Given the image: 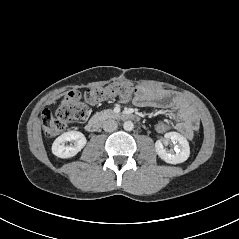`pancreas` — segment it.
I'll list each match as a JSON object with an SVG mask.
<instances>
[{
  "label": "pancreas",
  "instance_id": "obj_1",
  "mask_svg": "<svg viewBox=\"0 0 239 239\" xmlns=\"http://www.w3.org/2000/svg\"><path fill=\"white\" fill-rule=\"evenodd\" d=\"M113 115H114V112L112 110H103L101 112L96 113V116L99 118L111 117Z\"/></svg>",
  "mask_w": 239,
  "mask_h": 239
}]
</instances>
